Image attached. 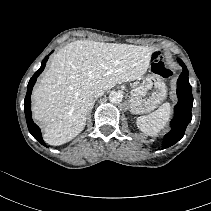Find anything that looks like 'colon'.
Returning a JSON list of instances; mask_svg holds the SVG:
<instances>
[{"label":"colon","instance_id":"5ec220e1","mask_svg":"<svg viewBox=\"0 0 211 211\" xmlns=\"http://www.w3.org/2000/svg\"><path fill=\"white\" fill-rule=\"evenodd\" d=\"M153 59L155 61L154 66L158 74L163 77L171 76V70L163 62L158 61V54H153Z\"/></svg>","mask_w":211,"mask_h":211}]
</instances>
